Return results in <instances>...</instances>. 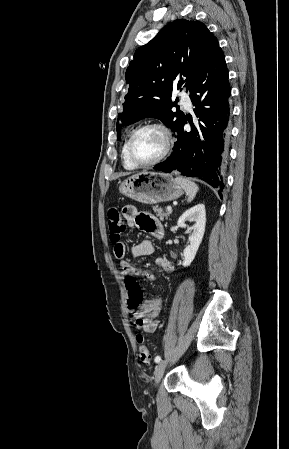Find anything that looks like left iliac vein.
<instances>
[{"label":"left iliac vein","instance_id":"left-iliac-vein-1","mask_svg":"<svg viewBox=\"0 0 289 449\" xmlns=\"http://www.w3.org/2000/svg\"><path fill=\"white\" fill-rule=\"evenodd\" d=\"M167 365H168L167 361H162L156 366L155 371H154L155 385H158L159 381L161 380V378L165 372Z\"/></svg>","mask_w":289,"mask_h":449}]
</instances>
